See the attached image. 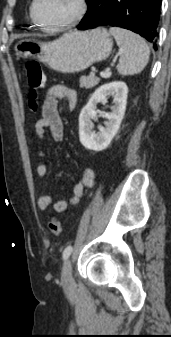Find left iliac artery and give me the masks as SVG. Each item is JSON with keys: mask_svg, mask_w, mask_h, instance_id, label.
<instances>
[{"mask_svg": "<svg viewBox=\"0 0 171 337\" xmlns=\"http://www.w3.org/2000/svg\"><path fill=\"white\" fill-rule=\"evenodd\" d=\"M72 250H73V248H72L71 245L67 246V247L64 249L63 255H62L63 260H67V259L69 258V256H70L71 253H72Z\"/></svg>", "mask_w": 171, "mask_h": 337, "instance_id": "obj_1", "label": "left iliac artery"}]
</instances>
